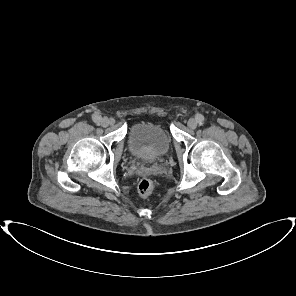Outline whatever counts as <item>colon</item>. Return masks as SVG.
Masks as SVG:
<instances>
[{
	"instance_id": "colon-1",
	"label": "colon",
	"mask_w": 296,
	"mask_h": 296,
	"mask_svg": "<svg viewBox=\"0 0 296 296\" xmlns=\"http://www.w3.org/2000/svg\"><path fill=\"white\" fill-rule=\"evenodd\" d=\"M138 191L142 196H149L153 191V182L150 179H142L138 184Z\"/></svg>"
}]
</instances>
